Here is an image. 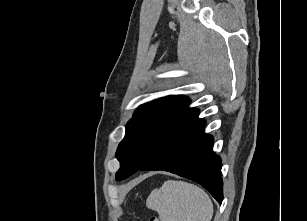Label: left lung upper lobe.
<instances>
[{
	"label": "left lung upper lobe",
	"mask_w": 307,
	"mask_h": 221,
	"mask_svg": "<svg viewBox=\"0 0 307 221\" xmlns=\"http://www.w3.org/2000/svg\"><path fill=\"white\" fill-rule=\"evenodd\" d=\"M185 96L170 95L141 105L126 126L115 154L120 161L116 180H122L152 160L164 147L199 123V111Z\"/></svg>",
	"instance_id": "5c2ea615"
}]
</instances>
